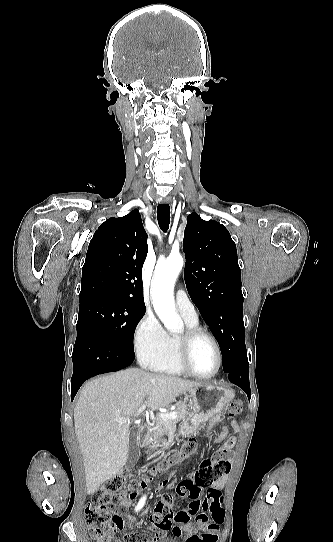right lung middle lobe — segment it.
Listing matches in <instances>:
<instances>
[{
	"mask_svg": "<svg viewBox=\"0 0 333 542\" xmlns=\"http://www.w3.org/2000/svg\"><path fill=\"white\" fill-rule=\"evenodd\" d=\"M146 308L100 299L79 306L77 331L92 327L101 331L123 351L135 355L133 337Z\"/></svg>",
	"mask_w": 333,
	"mask_h": 542,
	"instance_id": "obj_1",
	"label": "right lung middle lobe"
}]
</instances>
